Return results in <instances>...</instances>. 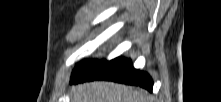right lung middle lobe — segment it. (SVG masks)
Returning <instances> with one entry per match:
<instances>
[{"instance_id":"1","label":"right lung middle lobe","mask_w":221,"mask_h":102,"mask_svg":"<svg viewBox=\"0 0 221 102\" xmlns=\"http://www.w3.org/2000/svg\"><path fill=\"white\" fill-rule=\"evenodd\" d=\"M91 61H92V60L82 61L81 63H79V64L75 67L73 73H76L77 71L81 70L82 68H84V67H85L88 63H90Z\"/></svg>"}]
</instances>
